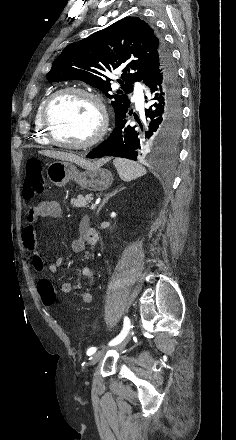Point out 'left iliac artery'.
Masks as SVG:
<instances>
[{"instance_id": "1", "label": "left iliac artery", "mask_w": 236, "mask_h": 440, "mask_svg": "<svg viewBox=\"0 0 236 440\" xmlns=\"http://www.w3.org/2000/svg\"><path fill=\"white\" fill-rule=\"evenodd\" d=\"M130 327H131L130 319L127 316H125L124 323H123V329H122L121 333L116 338H114L112 341L109 342V346H115V345L119 344L125 338L127 333L129 332ZM96 350H97L96 347L89 348L87 350V355L90 356V355L94 354L96 352Z\"/></svg>"}]
</instances>
